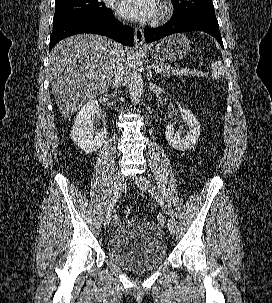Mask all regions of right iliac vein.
Listing matches in <instances>:
<instances>
[{
    "label": "right iliac vein",
    "instance_id": "63e3f726",
    "mask_svg": "<svg viewBox=\"0 0 272 303\" xmlns=\"http://www.w3.org/2000/svg\"><path fill=\"white\" fill-rule=\"evenodd\" d=\"M124 184V176L121 172H117L114 179V195L120 193L122 191ZM112 212L110 211V215H106L104 219V226L107 227L111 221Z\"/></svg>",
    "mask_w": 272,
    "mask_h": 303
}]
</instances>
